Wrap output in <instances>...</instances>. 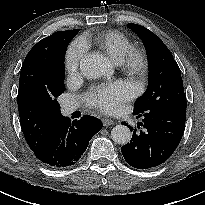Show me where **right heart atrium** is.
I'll return each mask as SVG.
<instances>
[{
	"label": "right heart atrium",
	"instance_id": "obj_1",
	"mask_svg": "<svg viewBox=\"0 0 205 205\" xmlns=\"http://www.w3.org/2000/svg\"><path fill=\"white\" fill-rule=\"evenodd\" d=\"M86 47L80 39L74 40L65 54V66L70 75H75L85 54Z\"/></svg>",
	"mask_w": 205,
	"mask_h": 205
}]
</instances>
